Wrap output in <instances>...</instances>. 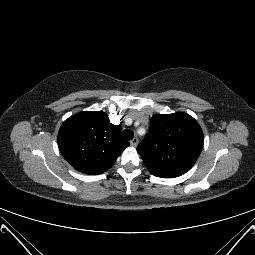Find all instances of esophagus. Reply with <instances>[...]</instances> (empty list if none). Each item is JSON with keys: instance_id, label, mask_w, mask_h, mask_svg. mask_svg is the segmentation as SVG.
Here are the masks:
<instances>
[{"instance_id": "34e87169", "label": "esophagus", "mask_w": 255, "mask_h": 255, "mask_svg": "<svg viewBox=\"0 0 255 255\" xmlns=\"http://www.w3.org/2000/svg\"><path fill=\"white\" fill-rule=\"evenodd\" d=\"M139 143V140L137 137H134L131 141H130V144L132 147H136Z\"/></svg>"}]
</instances>
